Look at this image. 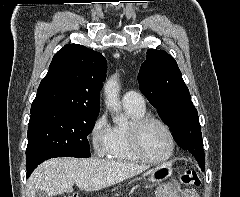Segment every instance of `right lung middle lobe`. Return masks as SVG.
<instances>
[{
    "label": "right lung middle lobe",
    "instance_id": "dd1d6c3e",
    "mask_svg": "<svg viewBox=\"0 0 240 197\" xmlns=\"http://www.w3.org/2000/svg\"><path fill=\"white\" fill-rule=\"evenodd\" d=\"M99 112L47 110L31 113L26 149L27 176L38 164L53 157L88 158V134Z\"/></svg>",
    "mask_w": 240,
    "mask_h": 197
}]
</instances>
